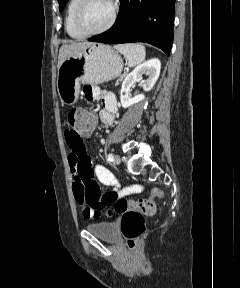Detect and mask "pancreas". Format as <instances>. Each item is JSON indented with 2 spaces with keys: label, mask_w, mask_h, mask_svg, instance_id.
I'll return each mask as SVG.
<instances>
[{
  "label": "pancreas",
  "mask_w": 240,
  "mask_h": 288,
  "mask_svg": "<svg viewBox=\"0 0 240 288\" xmlns=\"http://www.w3.org/2000/svg\"><path fill=\"white\" fill-rule=\"evenodd\" d=\"M125 76H126V73L122 74V75L117 79L116 85H118L119 82H121Z\"/></svg>",
  "instance_id": "obj_1"
}]
</instances>
